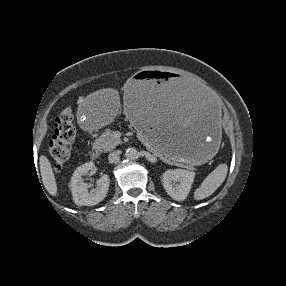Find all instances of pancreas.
Segmentation results:
<instances>
[{"mask_svg": "<svg viewBox=\"0 0 286 286\" xmlns=\"http://www.w3.org/2000/svg\"><path fill=\"white\" fill-rule=\"evenodd\" d=\"M114 131L106 129L105 132L94 141L93 148L99 151L108 152L114 149L116 146L122 143L120 139L115 138ZM140 141L146 146L147 150L152 152L155 156L159 157L166 163L177 164L178 161L164 156L157 148L153 147L147 138L139 136Z\"/></svg>", "mask_w": 286, "mask_h": 286, "instance_id": "cf45deb5", "label": "pancreas"}]
</instances>
